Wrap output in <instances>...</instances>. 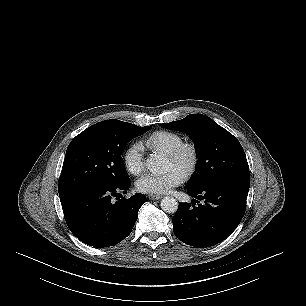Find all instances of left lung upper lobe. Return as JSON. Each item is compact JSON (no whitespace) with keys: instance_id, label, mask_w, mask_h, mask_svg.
I'll return each mask as SVG.
<instances>
[{"instance_id":"left-lung-upper-lobe-1","label":"left lung upper lobe","mask_w":306,"mask_h":306,"mask_svg":"<svg viewBox=\"0 0 306 306\" xmlns=\"http://www.w3.org/2000/svg\"><path fill=\"white\" fill-rule=\"evenodd\" d=\"M160 125L185 132L194 142L199 158L197 173L188 182L187 189L220 180L250 181L249 166L241 144L208 116L190 114L184 119Z\"/></svg>"}]
</instances>
